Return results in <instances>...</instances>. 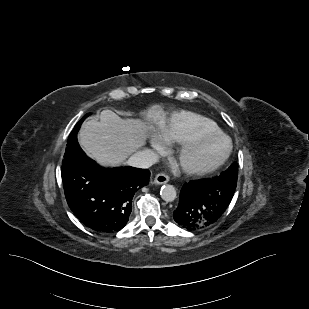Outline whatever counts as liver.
I'll return each mask as SVG.
<instances>
[{"label":"liver","mask_w":309,"mask_h":309,"mask_svg":"<svg viewBox=\"0 0 309 309\" xmlns=\"http://www.w3.org/2000/svg\"><path fill=\"white\" fill-rule=\"evenodd\" d=\"M150 126L140 119H122L103 110L99 120L84 123L79 142L86 153L104 166L120 165L146 144Z\"/></svg>","instance_id":"6515ba94"}]
</instances>
